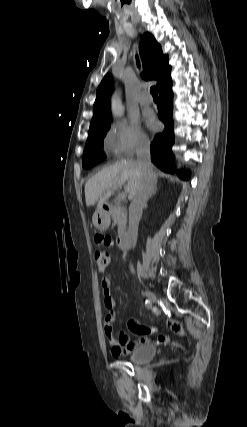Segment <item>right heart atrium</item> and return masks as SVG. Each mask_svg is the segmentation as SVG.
<instances>
[{"label":"right heart atrium","mask_w":247,"mask_h":427,"mask_svg":"<svg viewBox=\"0 0 247 427\" xmlns=\"http://www.w3.org/2000/svg\"><path fill=\"white\" fill-rule=\"evenodd\" d=\"M149 139L141 127L133 121L118 120L107 129L105 144L110 153L118 157H130L149 146Z\"/></svg>","instance_id":"d8ad5b80"}]
</instances>
